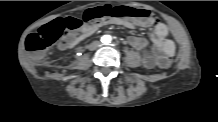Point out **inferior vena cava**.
<instances>
[{
  "instance_id": "inferior-vena-cava-1",
  "label": "inferior vena cava",
  "mask_w": 218,
  "mask_h": 122,
  "mask_svg": "<svg viewBox=\"0 0 218 122\" xmlns=\"http://www.w3.org/2000/svg\"><path fill=\"white\" fill-rule=\"evenodd\" d=\"M99 46H100L99 42L95 41L90 45V49L93 50L98 48Z\"/></svg>"
}]
</instances>
